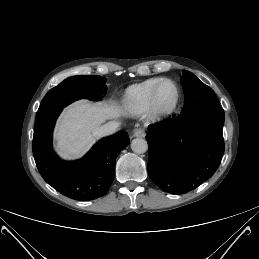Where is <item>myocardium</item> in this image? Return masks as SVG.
I'll return each instance as SVG.
<instances>
[{"label":"myocardium","mask_w":259,"mask_h":259,"mask_svg":"<svg viewBox=\"0 0 259 259\" xmlns=\"http://www.w3.org/2000/svg\"><path fill=\"white\" fill-rule=\"evenodd\" d=\"M164 84H170L173 86L175 90V98L173 103L168 107H162L158 103V92L162 85ZM180 101V90L178 85L171 79H162L154 88L151 98H150V104L148 107L149 113L155 117V118H166L172 115L175 110L177 109V106Z\"/></svg>","instance_id":"f54148a6"}]
</instances>
